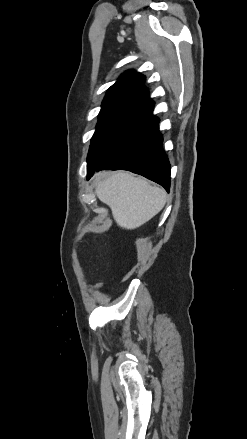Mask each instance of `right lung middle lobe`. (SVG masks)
I'll use <instances>...</instances> for the list:
<instances>
[{
    "label": "right lung middle lobe",
    "mask_w": 247,
    "mask_h": 439,
    "mask_svg": "<svg viewBox=\"0 0 247 439\" xmlns=\"http://www.w3.org/2000/svg\"><path fill=\"white\" fill-rule=\"evenodd\" d=\"M153 118L150 112L134 110L122 105L102 106L96 131L91 139L87 166L97 165L110 152L144 128Z\"/></svg>",
    "instance_id": "obj_1"
}]
</instances>
